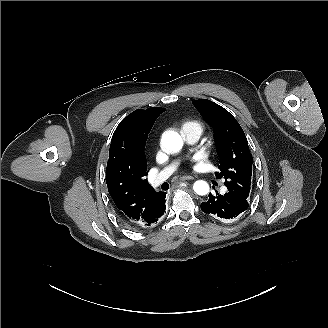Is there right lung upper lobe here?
<instances>
[{"mask_svg":"<svg viewBox=\"0 0 328 328\" xmlns=\"http://www.w3.org/2000/svg\"><path fill=\"white\" fill-rule=\"evenodd\" d=\"M164 111L161 107L135 110L120 122L111 139L106 183L119 216L128 225L147 218L158 197L159 192L146 179L147 138L142 136V129Z\"/></svg>","mask_w":328,"mask_h":328,"instance_id":"right-lung-upper-lobe-1","label":"right lung upper lobe"}]
</instances>
